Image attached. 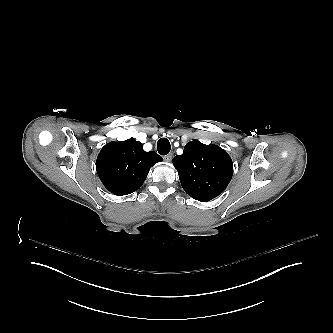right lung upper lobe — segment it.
<instances>
[{
  "mask_svg": "<svg viewBox=\"0 0 333 333\" xmlns=\"http://www.w3.org/2000/svg\"><path fill=\"white\" fill-rule=\"evenodd\" d=\"M163 159L154 151L145 152L134 138L110 142L100 151L96 161L99 178L115 195L136 191L145 181L150 168Z\"/></svg>",
  "mask_w": 333,
  "mask_h": 333,
  "instance_id": "right-lung-upper-lobe-1",
  "label": "right lung upper lobe"
}]
</instances>
